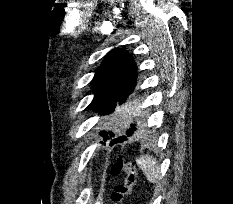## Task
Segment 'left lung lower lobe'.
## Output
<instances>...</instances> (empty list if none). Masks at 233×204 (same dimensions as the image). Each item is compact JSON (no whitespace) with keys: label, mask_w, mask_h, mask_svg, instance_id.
I'll return each instance as SVG.
<instances>
[{"label":"left lung lower lobe","mask_w":233,"mask_h":204,"mask_svg":"<svg viewBox=\"0 0 233 204\" xmlns=\"http://www.w3.org/2000/svg\"><path fill=\"white\" fill-rule=\"evenodd\" d=\"M135 87V86H134ZM134 87L128 89L126 91V93L124 94L123 98H122V103L126 101L127 97L129 96V94H131L132 90L134 89ZM137 128H136V124H131V128L128 129L127 131V136H130L134 133V131H136ZM126 140V136H121V137H118L116 139H113L111 142H110V145H114L118 142H122V141H125Z\"/></svg>","instance_id":"left-lung-lower-lobe-1"}]
</instances>
